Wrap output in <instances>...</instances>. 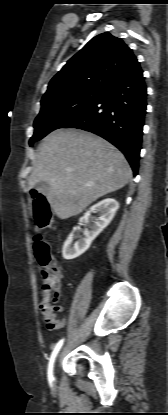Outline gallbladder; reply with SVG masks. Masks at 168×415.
Segmentation results:
<instances>
[{"label": "gallbladder", "mask_w": 168, "mask_h": 415, "mask_svg": "<svg viewBox=\"0 0 168 415\" xmlns=\"http://www.w3.org/2000/svg\"><path fill=\"white\" fill-rule=\"evenodd\" d=\"M37 188L41 193L47 194L50 190V184L48 182L41 181L37 184Z\"/></svg>", "instance_id": "bac80fb5"}]
</instances>
